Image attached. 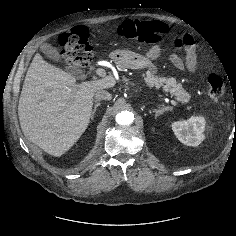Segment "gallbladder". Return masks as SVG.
<instances>
[{
    "label": "gallbladder",
    "mask_w": 236,
    "mask_h": 236,
    "mask_svg": "<svg viewBox=\"0 0 236 236\" xmlns=\"http://www.w3.org/2000/svg\"><path fill=\"white\" fill-rule=\"evenodd\" d=\"M40 51L50 60L54 62H61L62 57L57 48L53 47L51 44L43 43L40 46ZM68 71L71 75L80 78L83 75L82 70L77 66H69Z\"/></svg>",
    "instance_id": "1"
}]
</instances>
